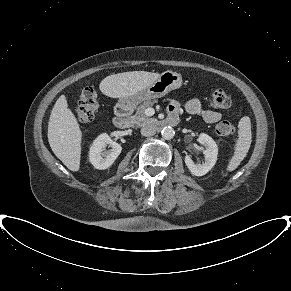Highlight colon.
I'll use <instances>...</instances> for the list:
<instances>
[{
    "instance_id": "colon-1",
    "label": "colon",
    "mask_w": 291,
    "mask_h": 291,
    "mask_svg": "<svg viewBox=\"0 0 291 291\" xmlns=\"http://www.w3.org/2000/svg\"><path fill=\"white\" fill-rule=\"evenodd\" d=\"M230 98L222 89H215L211 93L210 105L214 109H225L230 105ZM99 107L98 96L95 89L86 84L82 89L75 114L80 122L86 123L91 121ZM235 126L231 120L220 121L215 128L216 135L221 138L230 137L234 134Z\"/></svg>"
}]
</instances>
